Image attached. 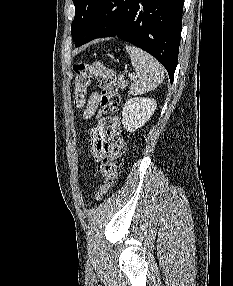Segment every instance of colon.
<instances>
[{
	"label": "colon",
	"mask_w": 233,
	"mask_h": 286,
	"mask_svg": "<svg viewBox=\"0 0 233 286\" xmlns=\"http://www.w3.org/2000/svg\"><path fill=\"white\" fill-rule=\"evenodd\" d=\"M73 71L74 102L77 107L84 105L92 79L96 80L101 89L100 104L106 115L104 122L106 126L105 155L101 165L103 182L98 192V197H101L114 186L118 179L125 152L120 118L117 115L121 99L116 76L113 70L99 61L76 63L73 66Z\"/></svg>",
	"instance_id": "obj_1"
}]
</instances>
